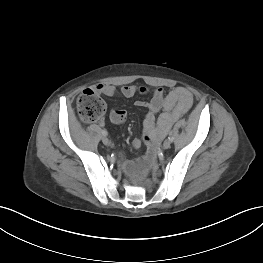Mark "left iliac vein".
<instances>
[{"mask_svg":"<svg viewBox=\"0 0 263 263\" xmlns=\"http://www.w3.org/2000/svg\"><path fill=\"white\" fill-rule=\"evenodd\" d=\"M171 146V141L170 140H165L163 143V149H169Z\"/></svg>","mask_w":263,"mask_h":263,"instance_id":"4c4485c4","label":"left iliac vein"}]
</instances>
